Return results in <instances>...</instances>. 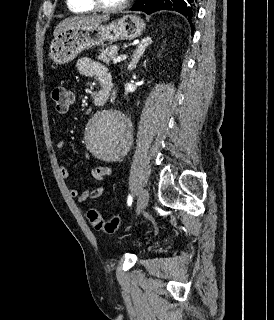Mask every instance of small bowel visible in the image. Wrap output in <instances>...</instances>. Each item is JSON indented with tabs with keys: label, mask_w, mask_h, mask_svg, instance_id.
<instances>
[{
	"label": "small bowel",
	"mask_w": 274,
	"mask_h": 320,
	"mask_svg": "<svg viewBox=\"0 0 274 320\" xmlns=\"http://www.w3.org/2000/svg\"><path fill=\"white\" fill-rule=\"evenodd\" d=\"M78 72L86 77H96L100 83V92H109L112 89L113 81L112 75L99 62L90 57H81L77 62ZM66 145L65 140H59L56 148L57 150L64 149ZM59 174L65 180L70 178L69 172L64 165L58 167ZM112 174V169L108 166H98L92 169L91 175L94 180L104 182ZM105 187L100 185L94 189H84L80 191L77 187H71L68 190L70 197L75 198L78 202H85L87 200L98 199L103 195Z\"/></svg>",
	"instance_id": "obj_1"
}]
</instances>
